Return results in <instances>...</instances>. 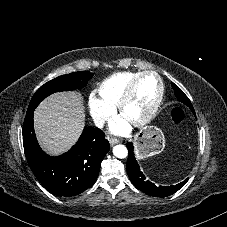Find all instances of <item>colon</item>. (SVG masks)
Masks as SVG:
<instances>
[{
    "label": "colon",
    "mask_w": 227,
    "mask_h": 227,
    "mask_svg": "<svg viewBox=\"0 0 227 227\" xmlns=\"http://www.w3.org/2000/svg\"><path fill=\"white\" fill-rule=\"evenodd\" d=\"M171 118L175 123L179 124L184 121L185 112L181 108H174L171 111Z\"/></svg>",
    "instance_id": "5ec220e1"
}]
</instances>
